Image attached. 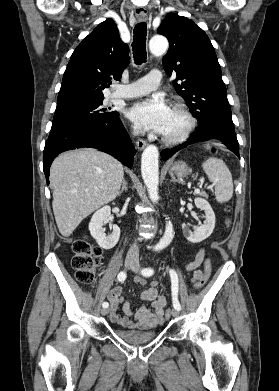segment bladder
Instances as JSON below:
<instances>
[{
    "label": "bladder",
    "mask_w": 279,
    "mask_h": 391,
    "mask_svg": "<svg viewBox=\"0 0 279 391\" xmlns=\"http://www.w3.org/2000/svg\"><path fill=\"white\" fill-rule=\"evenodd\" d=\"M114 334L119 339L132 345H141L148 343L154 340L157 336L156 332L153 331L141 332L120 329L114 330Z\"/></svg>",
    "instance_id": "obj_1"
}]
</instances>
